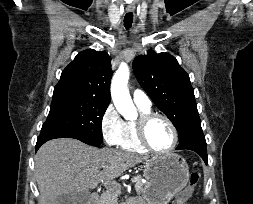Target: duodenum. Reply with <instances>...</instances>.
<instances>
[{
  "mask_svg": "<svg viewBox=\"0 0 253 204\" xmlns=\"http://www.w3.org/2000/svg\"><path fill=\"white\" fill-rule=\"evenodd\" d=\"M99 195L98 193H93L90 200L87 202V204H98Z\"/></svg>",
  "mask_w": 253,
  "mask_h": 204,
  "instance_id": "410a0bca",
  "label": "duodenum"
}]
</instances>
